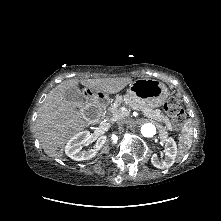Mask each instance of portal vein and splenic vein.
I'll return each instance as SVG.
<instances>
[{"label":"portal vein and splenic vein","mask_w":221,"mask_h":221,"mask_svg":"<svg viewBox=\"0 0 221 221\" xmlns=\"http://www.w3.org/2000/svg\"><path fill=\"white\" fill-rule=\"evenodd\" d=\"M121 111H122L123 113H125V111L127 112L126 108H124V107L121 108Z\"/></svg>","instance_id":"18ae733b"}]
</instances>
